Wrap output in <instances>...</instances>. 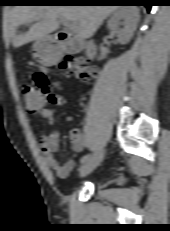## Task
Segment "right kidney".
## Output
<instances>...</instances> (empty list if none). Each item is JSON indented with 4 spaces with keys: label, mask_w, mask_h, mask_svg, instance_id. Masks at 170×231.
Returning a JSON list of instances; mask_svg holds the SVG:
<instances>
[{
    "label": "right kidney",
    "mask_w": 170,
    "mask_h": 231,
    "mask_svg": "<svg viewBox=\"0 0 170 231\" xmlns=\"http://www.w3.org/2000/svg\"><path fill=\"white\" fill-rule=\"evenodd\" d=\"M139 21V10L133 6L118 9L108 21V28L114 31L118 40L126 44L132 38ZM123 25V28H120Z\"/></svg>",
    "instance_id": "obj_1"
}]
</instances>
